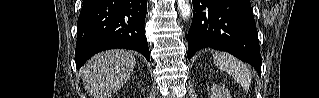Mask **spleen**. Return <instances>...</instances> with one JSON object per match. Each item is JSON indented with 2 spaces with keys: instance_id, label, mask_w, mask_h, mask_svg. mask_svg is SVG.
Here are the masks:
<instances>
[{
  "instance_id": "spleen-1",
  "label": "spleen",
  "mask_w": 319,
  "mask_h": 98,
  "mask_svg": "<svg viewBox=\"0 0 319 98\" xmlns=\"http://www.w3.org/2000/svg\"><path fill=\"white\" fill-rule=\"evenodd\" d=\"M213 59L221 70L228 72L244 89L249 87L252 77L245 64L226 53H215Z\"/></svg>"
}]
</instances>
